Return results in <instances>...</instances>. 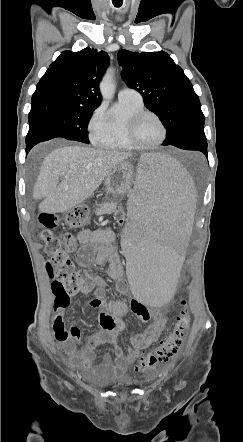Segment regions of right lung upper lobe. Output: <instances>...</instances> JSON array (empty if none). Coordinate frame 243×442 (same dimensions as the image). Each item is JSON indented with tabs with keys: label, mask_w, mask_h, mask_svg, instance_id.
I'll use <instances>...</instances> for the list:
<instances>
[{
	"label": "right lung upper lobe",
	"mask_w": 243,
	"mask_h": 442,
	"mask_svg": "<svg viewBox=\"0 0 243 442\" xmlns=\"http://www.w3.org/2000/svg\"><path fill=\"white\" fill-rule=\"evenodd\" d=\"M108 65L109 56L104 51L89 47L79 52L64 51L40 79L32 98L59 96L97 108L102 100L99 81Z\"/></svg>",
	"instance_id": "cb5924a9"
}]
</instances>
